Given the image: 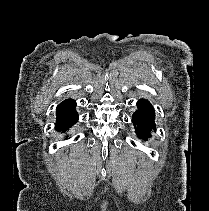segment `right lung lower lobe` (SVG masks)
<instances>
[{
  "label": "right lung lower lobe",
  "mask_w": 209,
  "mask_h": 211,
  "mask_svg": "<svg viewBox=\"0 0 209 211\" xmlns=\"http://www.w3.org/2000/svg\"><path fill=\"white\" fill-rule=\"evenodd\" d=\"M76 102L72 99L63 101L57 107L56 130L66 131L69 127L78 121V115L75 110Z\"/></svg>",
  "instance_id": "obj_1"
}]
</instances>
